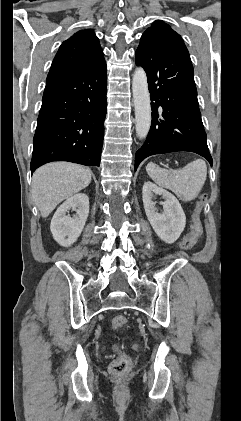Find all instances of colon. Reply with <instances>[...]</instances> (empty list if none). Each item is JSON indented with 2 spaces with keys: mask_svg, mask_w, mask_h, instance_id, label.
Masks as SVG:
<instances>
[{
  "mask_svg": "<svg viewBox=\"0 0 241 421\" xmlns=\"http://www.w3.org/2000/svg\"><path fill=\"white\" fill-rule=\"evenodd\" d=\"M205 197L202 196L198 207L195 211L191 229L190 231L181 239L179 242V248L181 250H189L194 246L196 243L198 236L202 230V224L200 219V214L202 210V206L204 203ZM127 323V319L123 315H117L112 320V327L114 329H120L125 326ZM113 350L116 354L115 359L111 362L109 366V371L114 376H121L125 374L131 365L130 357L124 353L118 345H114Z\"/></svg>",
  "mask_w": 241,
  "mask_h": 421,
  "instance_id": "1",
  "label": "colon"
}]
</instances>
